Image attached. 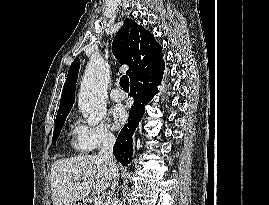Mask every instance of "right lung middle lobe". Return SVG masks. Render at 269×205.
I'll list each match as a JSON object with an SVG mask.
<instances>
[{
  "mask_svg": "<svg viewBox=\"0 0 269 205\" xmlns=\"http://www.w3.org/2000/svg\"><path fill=\"white\" fill-rule=\"evenodd\" d=\"M66 116H62V117L56 119V126H55V129H54L53 138H52V144L53 145H55L56 140H57V138H58V136H59V134L61 132V129H62L63 125H64Z\"/></svg>",
  "mask_w": 269,
  "mask_h": 205,
  "instance_id": "dd1d6c3e",
  "label": "right lung middle lobe"
}]
</instances>
